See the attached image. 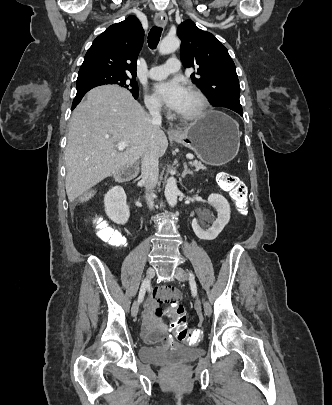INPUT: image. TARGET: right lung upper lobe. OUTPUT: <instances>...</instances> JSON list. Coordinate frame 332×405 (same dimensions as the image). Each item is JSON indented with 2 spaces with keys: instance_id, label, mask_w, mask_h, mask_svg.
<instances>
[{
  "instance_id": "right-lung-upper-lobe-1",
  "label": "right lung upper lobe",
  "mask_w": 332,
  "mask_h": 405,
  "mask_svg": "<svg viewBox=\"0 0 332 405\" xmlns=\"http://www.w3.org/2000/svg\"><path fill=\"white\" fill-rule=\"evenodd\" d=\"M144 30L135 16L108 27L87 51L79 74L106 71L136 76Z\"/></svg>"
}]
</instances>
